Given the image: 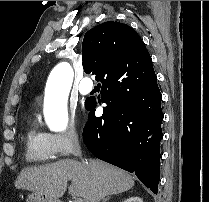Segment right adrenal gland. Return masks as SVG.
I'll return each mask as SVG.
<instances>
[{
	"instance_id": "obj_1",
	"label": "right adrenal gland",
	"mask_w": 209,
	"mask_h": 202,
	"mask_svg": "<svg viewBox=\"0 0 209 202\" xmlns=\"http://www.w3.org/2000/svg\"><path fill=\"white\" fill-rule=\"evenodd\" d=\"M110 197H111V195H109V196L103 198V199H102V202H107V201L110 199Z\"/></svg>"
}]
</instances>
